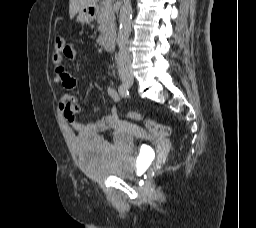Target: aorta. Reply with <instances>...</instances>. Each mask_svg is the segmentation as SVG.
Returning a JSON list of instances; mask_svg holds the SVG:
<instances>
[{
	"label": "aorta",
	"mask_w": 256,
	"mask_h": 228,
	"mask_svg": "<svg viewBox=\"0 0 256 228\" xmlns=\"http://www.w3.org/2000/svg\"><path fill=\"white\" fill-rule=\"evenodd\" d=\"M131 14H132V4L131 0H124L123 5L120 9V29L117 37L118 46H123L127 43L130 31H131Z\"/></svg>",
	"instance_id": "obj_1"
}]
</instances>
